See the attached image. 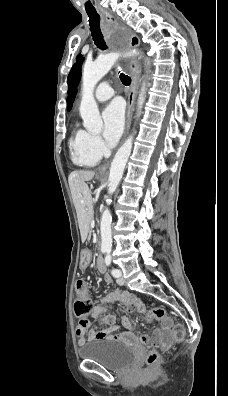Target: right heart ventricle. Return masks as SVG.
I'll use <instances>...</instances> for the list:
<instances>
[{
	"label": "right heart ventricle",
	"instance_id": "obj_1",
	"mask_svg": "<svg viewBox=\"0 0 228 396\" xmlns=\"http://www.w3.org/2000/svg\"><path fill=\"white\" fill-rule=\"evenodd\" d=\"M70 148L73 162L80 166L93 167L101 158L91 150L88 133L83 130L74 132L70 139Z\"/></svg>",
	"mask_w": 228,
	"mask_h": 396
}]
</instances>
